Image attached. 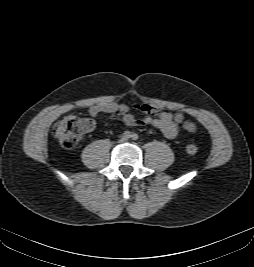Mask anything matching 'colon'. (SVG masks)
I'll use <instances>...</instances> for the list:
<instances>
[{
	"label": "colon",
	"instance_id": "obj_1",
	"mask_svg": "<svg viewBox=\"0 0 254 267\" xmlns=\"http://www.w3.org/2000/svg\"><path fill=\"white\" fill-rule=\"evenodd\" d=\"M94 128V121L90 118L70 115L58 121L52 133L54 137L67 149H72L83 139V137ZM198 147L195 143L186 146V152L190 155L196 154Z\"/></svg>",
	"mask_w": 254,
	"mask_h": 267
}]
</instances>
